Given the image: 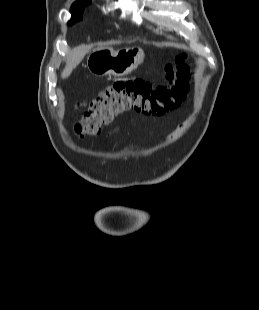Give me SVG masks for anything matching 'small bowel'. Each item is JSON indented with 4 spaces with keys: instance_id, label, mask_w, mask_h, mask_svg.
<instances>
[{
    "instance_id": "1",
    "label": "small bowel",
    "mask_w": 259,
    "mask_h": 310,
    "mask_svg": "<svg viewBox=\"0 0 259 310\" xmlns=\"http://www.w3.org/2000/svg\"><path fill=\"white\" fill-rule=\"evenodd\" d=\"M186 129V124L183 123L181 124L169 137L168 139L169 140H172V139H176L177 137H179L183 132L184 130ZM119 132V129H115L113 132H111L108 136H112V135H115L116 133Z\"/></svg>"
}]
</instances>
